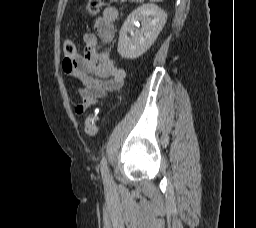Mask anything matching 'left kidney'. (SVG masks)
Segmentation results:
<instances>
[{
    "label": "left kidney",
    "instance_id": "obj_1",
    "mask_svg": "<svg viewBox=\"0 0 256 228\" xmlns=\"http://www.w3.org/2000/svg\"><path fill=\"white\" fill-rule=\"evenodd\" d=\"M166 20L165 11L155 4H143L130 13L119 32L117 50L121 57L136 59L145 53L157 39ZM139 21L141 29L136 28Z\"/></svg>",
    "mask_w": 256,
    "mask_h": 228
}]
</instances>
